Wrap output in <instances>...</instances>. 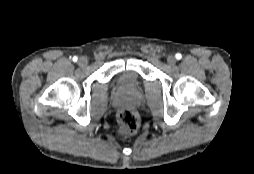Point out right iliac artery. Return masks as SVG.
Masks as SVG:
<instances>
[{"instance_id": "obj_1", "label": "right iliac artery", "mask_w": 254, "mask_h": 174, "mask_svg": "<svg viewBox=\"0 0 254 174\" xmlns=\"http://www.w3.org/2000/svg\"><path fill=\"white\" fill-rule=\"evenodd\" d=\"M74 62H76L78 60V58L76 56L73 57L72 59Z\"/></svg>"}]
</instances>
